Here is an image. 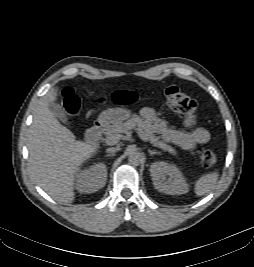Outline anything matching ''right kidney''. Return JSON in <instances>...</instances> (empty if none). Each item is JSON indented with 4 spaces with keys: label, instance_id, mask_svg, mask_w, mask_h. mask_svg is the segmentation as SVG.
<instances>
[{
    "label": "right kidney",
    "instance_id": "1",
    "mask_svg": "<svg viewBox=\"0 0 254 267\" xmlns=\"http://www.w3.org/2000/svg\"><path fill=\"white\" fill-rule=\"evenodd\" d=\"M106 179V165L97 163L77 174L76 189L80 193H94L104 187Z\"/></svg>",
    "mask_w": 254,
    "mask_h": 267
}]
</instances>
